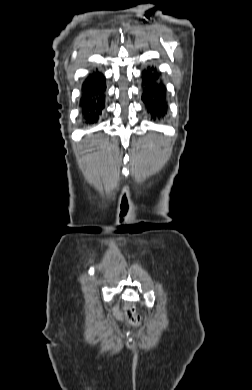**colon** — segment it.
<instances>
[{"mask_svg":"<svg viewBox=\"0 0 252 390\" xmlns=\"http://www.w3.org/2000/svg\"><path fill=\"white\" fill-rule=\"evenodd\" d=\"M125 315L127 320L131 324L135 326H139L141 324V316L136 312V308L134 304L132 303L127 304L125 308Z\"/></svg>","mask_w":252,"mask_h":390,"instance_id":"5ec220e1","label":"colon"}]
</instances>
